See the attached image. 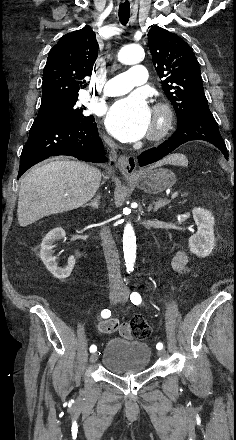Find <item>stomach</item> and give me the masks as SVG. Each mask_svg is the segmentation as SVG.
<instances>
[{
  "label": "stomach",
  "instance_id": "obj_1",
  "mask_svg": "<svg viewBox=\"0 0 236 440\" xmlns=\"http://www.w3.org/2000/svg\"><path fill=\"white\" fill-rule=\"evenodd\" d=\"M136 186L150 194H156L172 187L176 183V175L165 168H148L139 171L134 176H126Z\"/></svg>",
  "mask_w": 236,
  "mask_h": 440
}]
</instances>
